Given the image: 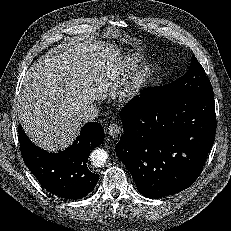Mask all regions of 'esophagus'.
<instances>
[{"mask_svg":"<svg viewBox=\"0 0 231 231\" xmlns=\"http://www.w3.org/2000/svg\"><path fill=\"white\" fill-rule=\"evenodd\" d=\"M106 132L111 137H116L121 132V127L117 123H111L107 129Z\"/></svg>","mask_w":231,"mask_h":231,"instance_id":"34e87169","label":"esophagus"}]
</instances>
